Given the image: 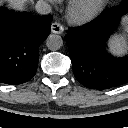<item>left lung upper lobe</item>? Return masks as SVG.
Returning a JSON list of instances; mask_svg holds the SVG:
<instances>
[{"label":"left lung upper lobe","mask_w":128,"mask_h":128,"mask_svg":"<svg viewBox=\"0 0 128 128\" xmlns=\"http://www.w3.org/2000/svg\"><path fill=\"white\" fill-rule=\"evenodd\" d=\"M123 2H128V0H123Z\"/></svg>","instance_id":"left-lung-upper-lobe-1"}]
</instances>
